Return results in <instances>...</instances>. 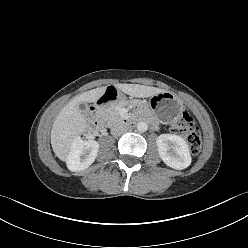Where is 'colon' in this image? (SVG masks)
<instances>
[{
    "label": "colon",
    "mask_w": 248,
    "mask_h": 248,
    "mask_svg": "<svg viewBox=\"0 0 248 248\" xmlns=\"http://www.w3.org/2000/svg\"><path fill=\"white\" fill-rule=\"evenodd\" d=\"M172 131L184 136L192 155H197L202 146L201 136L195 127L194 120L188 112H183L173 123Z\"/></svg>",
    "instance_id": "5ec220e1"
}]
</instances>
